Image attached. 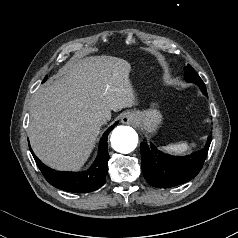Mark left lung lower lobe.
Instances as JSON below:
<instances>
[{"label": "left lung lower lobe", "instance_id": "obj_1", "mask_svg": "<svg viewBox=\"0 0 238 238\" xmlns=\"http://www.w3.org/2000/svg\"><path fill=\"white\" fill-rule=\"evenodd\" d=\"M212 136L205 148L186 156H173L160 151L152 143L140 144L141 166L145 179L157 188H169L192 180L207 157Z\"/></svg>", "mask_w": 238, "mask_h": 238}]
</instances>
